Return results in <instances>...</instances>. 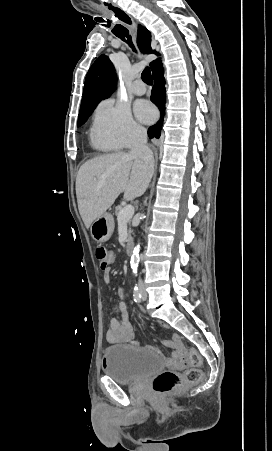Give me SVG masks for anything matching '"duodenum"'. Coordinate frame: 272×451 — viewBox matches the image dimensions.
<instances>
[{
    "instance_id": "obj_1",
    "label": "duodenum",
    "mask_w": 272,
    "mask_h": 451,
    "mask_svg": "<svg viewBox=\"0 0 272 451\" xmlns=\"http://www.w3.org/2000/svg\"><path fill=\"white\" fill-rule=\"evenodd\" d=\"M126 253L128 255H131L133 253V244L132 243H128L126 246Z\"/></svg>"
}]
</instances>
